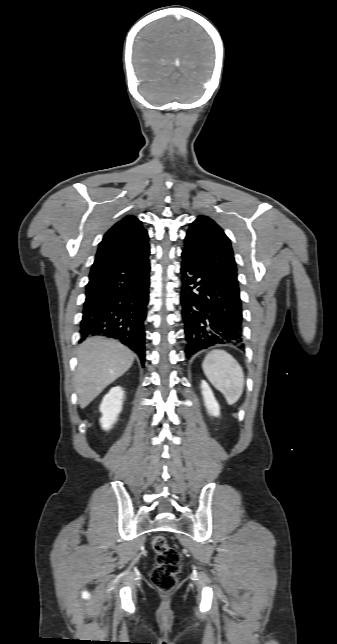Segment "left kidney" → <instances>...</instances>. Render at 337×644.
<instances>
[{"label":"left kidney","instance_id":"left-kidney-1","mask_svg":"<svg viewBox=\"0 0 337 644\" xmlns=\"http://www.w3.org/2000/svg\"><path fill=\"white\" fill-rule=\"evenodd\" d=\"M201 390L204 399V405L208 413L212 416L218 417L220 415V407L216 401L214 394L206 381L201 382Z\"/></svg>","mask_w":337,"mask_h":644}]
</instances>
